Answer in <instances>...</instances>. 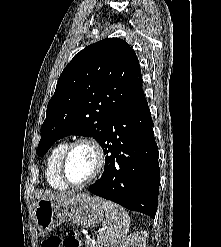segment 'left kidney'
I'll return each instance as SVG.
<instances>
[{"mask_svg":"<svg viewBox=\"0 0 221 247\" xmlns=\"http://www.w3.org/2000/svg\"><path fill=\"white\" fill-rule=\"evenodd\" d=\"M147 233L137 232L124 238L116 247H146Z\"/></svg>","mask_w":221,"mask_h":247,"instance_id":"obj_1","label":"left kidney"}]
</instances>
